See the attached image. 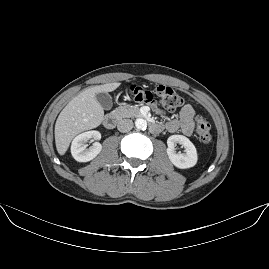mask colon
I'll return each mask as SVG.
<instances>
[{"instance_id":"1","label":"colon","mask_w":269,"mask_h":269,"mask_svg":"<svg viewBox=\"0 0 269 269\" xmlns=\"http://www.w3.org/2000/svg\"><path fill=\"white\" fill-rule=\"evenodd\" d=\"M126 96L131 101L159 105L168 110L178 109L183 104L180 93L166 84H159L154 90L142 89L138 84H131L126 89ZM195 133L201 143L213 142L210 124L203 116L198 115L195 118Z\"/></svg>"}]
</instances>
